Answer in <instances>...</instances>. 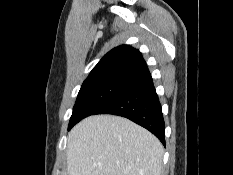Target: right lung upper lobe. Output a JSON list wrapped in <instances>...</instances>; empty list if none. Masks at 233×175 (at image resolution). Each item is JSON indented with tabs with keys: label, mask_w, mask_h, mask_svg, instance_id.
Returning a JSON list of instances; mask_svg holds the SVG:
<instances>
[{
	"label": "right lung upper lobe",
	"mask_w": 233,
	"mask_h": 175,
	"mask_svg": "<svg viewBox=\"0 0 233 175\" xmlns=\"http://www.w3.org/2000/svg\"><path fill=\"white\" fill-rule=\"evenodd\" d=\"M148 72L139 50L129 45H122L109 51L93 68L87 79L104 76H124L136 79Z\"/></svg>",
	"instance_id": "obj_1"
}]
</instances>
